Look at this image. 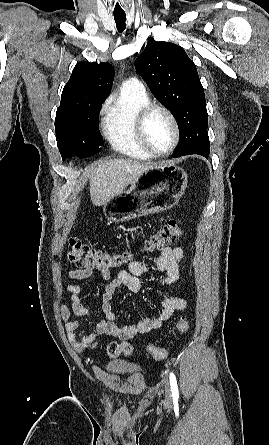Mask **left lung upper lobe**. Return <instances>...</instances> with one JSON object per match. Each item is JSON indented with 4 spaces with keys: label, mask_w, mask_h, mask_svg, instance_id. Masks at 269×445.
<instances>
[{
    "label": "left lung upper lobe",
    "mask_w": 269,
    "mask_h": 445,
    "mask_svg": "<svg viewBox=\"0 0 269 445\" xmlns=\"http://www.w3.org/2000/svg\"><path fill=\"white\" fill-rule=\"evenodd\" d=\"M149 40L135 61V68L178 123L180 143L174 157L190 154L208 157V114L196 65L182 47Z\"/></svg>",
    "instance_id": "obj_1"
}]
</instances>
